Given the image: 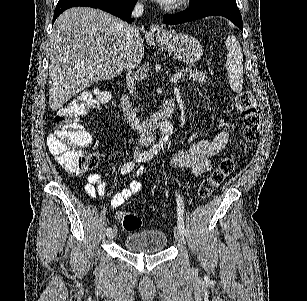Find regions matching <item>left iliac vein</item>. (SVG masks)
Instances as JSON below:
<instances>
[{
    "label": "left iliac vein",
    "mask_w": 307,
    "mask_h": 301,
    "mask_svg": "<svg viewBox=\"0 0 307 301\" xmlns=\"http://www.w3.org/2000/svg\"><path fill=\"white\" fill-rule=\"evenodd\" d=\"M174 233H175V238L177 239V241L181 244V245H185V238L184 235L182 233V231L179 229L178 226H175L174 228Z\"/></svg>",
    "instance_id": "4c4485c4"
}]
</instances>
